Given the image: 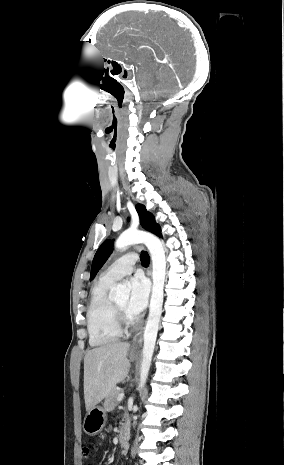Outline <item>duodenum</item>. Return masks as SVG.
I'll return each instance as SVG.
<instances>
[{
    "label": "duodenum",
    "instance_id": "duodenum-1",
    "mask_svg": "<svg viewBox=\"0 0 284 465\" xmlns=\"http://www.w3.org/2000/svg\"><path fill=\"white\" fill-rule=\"evenodd\" d=\"M129 435V431L126 428H122L120 431V440L121 442H125Z\"/></svg>",
    "mask_w": 284,
    "mask_h": 465
}]
</instances>
